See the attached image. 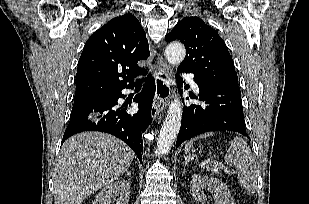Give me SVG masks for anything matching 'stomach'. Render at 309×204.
I'll list each match as a JSON object with an SVG mask.
<instances>
[{"instance_id":"obj_1","label":"stomach","mask_w":309,"mask_h":204,"mask_svg":"<svg viewBox=\"0 0 309 204\" xmlns=\"http://www.w3.org/2000/svg\"><path fill=\"white\" fill-rule=\"evenodd\" d=\"M185 149L187 153H190L191 151H193L192 145H187Z\"/></svg>"}]
</instances>
